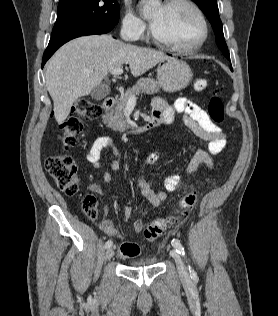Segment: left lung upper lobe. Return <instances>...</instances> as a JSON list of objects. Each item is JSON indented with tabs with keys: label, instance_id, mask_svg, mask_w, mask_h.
I'll return each instance as SVG.
<instances>
[{
	"label": "left lung upper lobe",
	"instance_id": "obj_1",
	"mask_svg": "<svg viewBox=\"0 0 278 316\" xmlns=\"http://www.w3.org/2000/svg\"><path fill=\"white\" fill-rule=\"evenodd\" d=\"M197 3V5L200 7V9L205 13L206 17L210 21L215 36L217 44L224 54V56L230 60V55L227 49V45L224 39L223 34V28H222V22L219 17V10L217 5V0H193ZM232 70V68H231Z\"/></svg>",
	"mask_w": 278,
	"mask_h": 316
}]
</instances>
